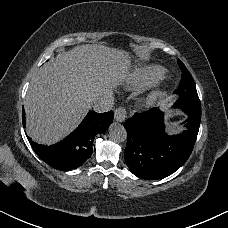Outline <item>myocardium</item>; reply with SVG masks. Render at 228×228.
Returning a JSON list of instances; mask_svg holds the SVG:
<instances>
[{
    "instance_id": "myocardium-1",
    "label": "myocardium",
    "mask_w": 228,
    "mask_h": 228,
    "mask_svg": "<svg viewBox=\"0 0 228 228\" xmlns=\"http://www.w3.org/2000/svg\"><path fill=\"white\" fill-rule=\"evenodd\" d=\"M154 98H150V101H152ZM150 103V102H149Z\"/></svg>"
}]
</instances>
